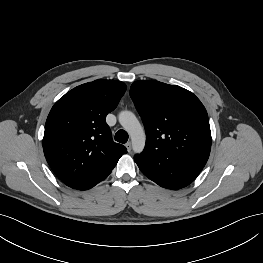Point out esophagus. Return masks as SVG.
<instances>
[{
	"label": "esophagus",
	"mask_w": 263,
	"mask_h": 263,
	"mask_svg": "<svg viewBox=\"0 0 263 263\" xmlns=\"http://www.w3.org/2000/svg\"><path fill=\"white\" fill-rule=\"evenodd\" d=\"M125 146H126V148H127V151L130 152V151H131V147H132L131 142H127V143L125 144Z\"/></svg>",
	"instance_id": "34e87169"
}]
</instances>
